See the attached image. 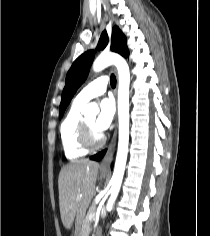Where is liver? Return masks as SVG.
<instances>
[{"mask_svg": "<svg viewBox=\"0 0 210 236\" xmlns=\"http://www.w3.org/2000/svg\"><path fill=\"white\" fill-rule=\"evenodd\" d=\"M99 164L87 159L74 161L63 167L58 177L59 206L63 225L71 229L75 221L78 230L86 209L96 194ZM81 196L80 199H77Z\"/></svg>", "mask_w": 210, "mask_h": 236, "instance_id": "6515ba94", "label": "liver"}]
</instances>
